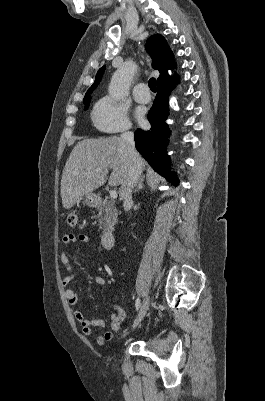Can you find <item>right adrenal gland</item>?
Instances as JSON below:
<instances>
[{
  "label": "right adrenal gland",
  "instance_id": "obj_1",
  "mask_svg": "<svg viewBox=\"0 0 265 401\" xmlns=\"http://www.w3.org/2000/svg\"><path fill=\"white\" fill-rule=\"evenodd\" d=\"M144 178H145V176L143 174V176H141V178H139L138 184H137L136 188H134V192H138V190H141V188H144V182H143Z\"/></svg>",
  "mask_w": 265,
  "mask_h": 401
}]
</instances>
